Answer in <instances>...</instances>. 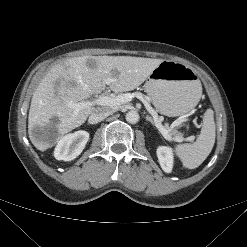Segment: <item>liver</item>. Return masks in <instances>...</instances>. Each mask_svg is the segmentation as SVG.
Returning a JSON list of instances; mask_svg holds the SVG:
<instances>
[{
    "label": "liver",
    "mask_w": 247,
    "mask_h": 247,
    "mask_svg": "<svg viewBox=\"0 0 247 247\" xmlns=\"http://www.w3.org/2000/svg\"><path fill=\"white\" fill-rule=\"evenodd\" d=\"M162 61L131 56H81L53 66L31 99L28 133L32 144L40 151L53 146V143L38 140L33 135L34 127H44L52 119L57 120L55 141H58L64 134L85 123L88 116L97 109L89 106L74 114V109L68 102H83L92 94L101 93L106 85L116 93L134 90ZM107 79L113 81L107 84Z\"/></svg>",
    "instance_id": "1"
}]
</instances>
